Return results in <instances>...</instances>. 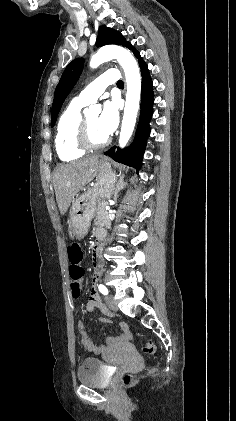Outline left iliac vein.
Returning <instances> with one entry per match:
<instances>
[{"label": "left iliac vein", "mask_w": 236, "mask_h": 421, "mask_svg": "<svg viewBox=\"0 0 236 421\" xmlns=\"http://www.w3.org/2000/svg\"><path fill=\"white\" fill-rule=\"evenodd\" d=\"M105 301L108 305V307L113 310V311H117V305H116V300L114 297H112L111 295H108L105 297Z\"/></svg>", "instance_id": "left-iliac-vein-1"}]
</instances>
